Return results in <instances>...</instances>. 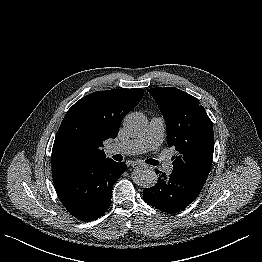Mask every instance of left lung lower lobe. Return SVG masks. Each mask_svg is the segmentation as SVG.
I'll list each match as a JSON object with an SVG mask.
<instances>
[{
    "label": "left lung lower lobe",
    "mask_w": 262,
    "mask_h": 262,
    "mask_svg": "<svg viewBox=\"0 0 262 262\" xmlns=\"http://www.w3.org/2000/svg\"><path fill=\"white\" fill-rule=\"evenodd\" d=\"M157 173H161L156 170ZM204 183L190 179L181 173H164L156 185L144 189L143 199L149 205L166 213H175L186 208L201 192Z\"/></svg>",
    "instance_id": "left-lung-lower-lobe-1"
}]
</instances>
